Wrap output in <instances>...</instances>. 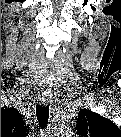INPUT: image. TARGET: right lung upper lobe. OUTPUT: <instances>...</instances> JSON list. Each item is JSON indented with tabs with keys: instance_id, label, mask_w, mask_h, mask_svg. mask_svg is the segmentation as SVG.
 <instances>
[{
	"instance_id": "cb5924a9",
	"label": "right lung upper lobe",
	"mask_w": 121,
	"mask_h": 137,
	"mask_svg": "<svg viewBox=\"0 0 121 137\" xmlns=\"http://www.w3.org/2000/svg\"><path fill=\"white\" fill-rule=\"evenodd\" d=\"M27 129L23 117L15 108L1 110V135H24Z\"/></svg>"
}]
</instances>
